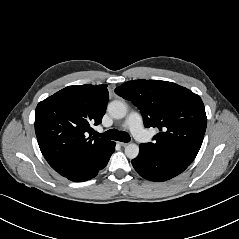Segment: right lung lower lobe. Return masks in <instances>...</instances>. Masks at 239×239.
Returning <instances> with one entry per match:
<instances>
[{"label":"right lung lower lobe","mask_w":239,"mask_h":239,"mask_svg":"<svg viewBox=\"0 0 239 239\" xmlns=\"http://www.w3.org/2000/svg\"><path fill=\"white\" fill-rule=\"evenodd\" d=\"M114 151L115 142L111 141L105 152L96 160H94L93 162L74 164L70 166L69 169L64 174H62V176L75 182L89 180L95 177L98 172L107 165Z\"/></svg>","instance_id":"1"}]
</instances>
